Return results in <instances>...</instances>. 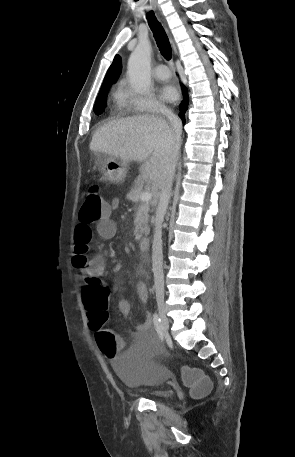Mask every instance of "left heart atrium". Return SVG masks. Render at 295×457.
I'll return each mask as SVG.
<instances>
[{"instance_id": "obj_1", "label": "left heart atrium", "mask_w": 295, "mask_h": 457, "mask_svg": "<svg viewBox=\"0 0 295 457\" xmlns=\"http://www.w3.org/2000/svg\"><path fill=\"white\" fill-rule=\"evenodd\" d=\"M161 97L166 101H173L177 97V92L171 85H166L161 90Z\"/></svg>"}]
</instances>
